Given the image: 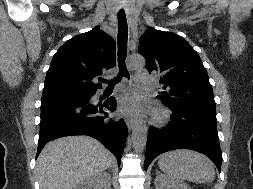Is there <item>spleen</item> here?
Here are the masks:
<instances>
[{
  "label": "spleen",
  "instance_id": "1",
  "mask_svg": "<svg viewBox=\"0 0 253 189\" xmlns=\"http://www.w3.org/2000/svg\"><path fill=\"white\" fill-rule=\"evenodd\" d=\"M158 166L174 180L208 183L215 178L211 160L192 150L180 149L164 153L159 156Z\"/></svg>",
  "mask_w": 253,
  "mask_h": 189
}]
</instances>
